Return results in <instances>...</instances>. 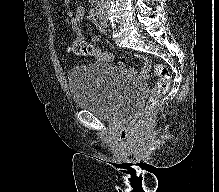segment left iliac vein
Listing matches in <instances>:
<instances>
[{"instance_id": "4c4485c4", "label": "left iliac vein", "mask_w": 219, "mask_h": 192, "mask_svg": "<svg viewBox=\"0 0 219 192\" xmlns=\"http://www.w3.org/2000/svg\"><path fill=\"white\" fill-rule=\"evenodd\" d=\"M107 22H108V17H107V14L104 13L103 18H102V21H101V24H102L103 26H106V25H107Z\"/></svg>"}]
</instances>
